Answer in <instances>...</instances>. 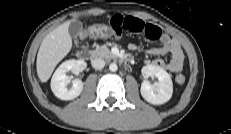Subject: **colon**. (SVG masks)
<instances>
[{
  "label": "colon",
  "instance_id": "1",
  "mask_svg": "<svg viewBox=\"0 0 231 134\" xmlns=\"http://www.w3.org/2000/svg\"><path fill=\"white\" fill-rule=\"evenodd\" d=\"M84 36L92 37V38H109L115 37L118 35L110 26L105 24H94L88 27L84 33ZM175 82L178 85H182L185 82L184 75H177L175 78Z\"/></svg>",
  "mask_w": 231,
  "mask_h": 134
}]
</instances>
